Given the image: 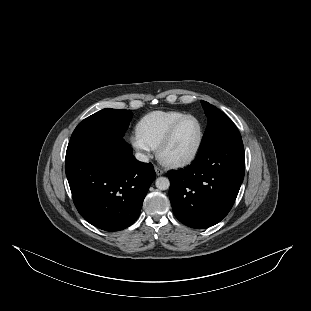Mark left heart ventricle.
Returning a JSON list of instances; mask_svg holds the SVG:
<instances>
[{
  "instance_id": "1",
  "label": "left heart ventricle",
  "mask_w": 311,
  "mask_h": 311,
  "mask_svg": "<svg viewBox=\"0 0 311 311\" xmlns=\"http://www.w3.org/2000/svg\"><path fill=\"white\" fill-rule=\"evenodd\" d=\"M200 137V125L194 118L186 120L177 130L173 142L164 150L167 161L185 159L196 149Z\"/></svg>"
}]
</instances>
